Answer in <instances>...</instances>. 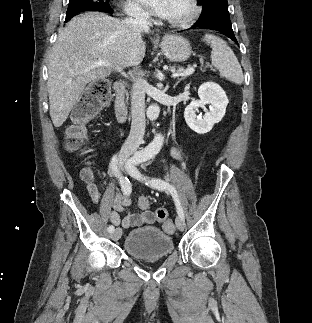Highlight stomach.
Listing matches in <instances>:
<instances>
[{
    "label": "stomach",
    "mask_w": 312,
    "mask_h": 323,
    "mask_svg": "<svg viewBox=\"0 0 312 323\" xmlns=\"http://www.w3.org/2000/svg\"><path fill=\"white\" fill-rule=\"evenodd\" d=\"M162 54L170 62H185L192 54V48L183 36H165L161 42Z\"/></svg>",
    "instance_id": "0dacf381"
}]
</instances>
